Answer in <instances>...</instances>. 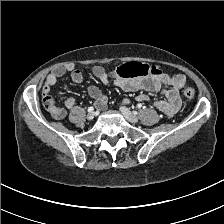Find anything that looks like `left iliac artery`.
Listing matches in <instances>:
<instances>
[{
    "label": "left iliac artery",
    "instance_id": "1",
    "mask_svg": "<svg viewBox=\"0 0 224 224\" xmlns=\"http://www.w3.org/2000/svg\"><path fill=\"white\" fill-rule=\"evenodd\" d=\"M137 107H138V108H141V107H142V105H141V104H138V105H137Z\"/></svg>",
    "mask_w": 224,
    "mask_h": 224
}]
</instances>
